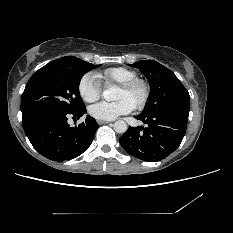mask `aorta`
Masks as SVG:
<instances>
[{
    "instance_id": "762f6f07",
    "label": "aorta",
    "mask_w": 233,
    "mask_h": 233,
    "mask_svg": "<svg viewBox=\"0 0 233 233\" xmlns=\"http://www.w3.org/2000/svg\"><path fill=\"white\" fill-rule=\"evenodd\" d=\"M118 88L111 86L103 91V97L106 101H114L117 99ZM128 127L125 121L118 120L114 123V130L117 133H125Z\"/></svg>"
}]
</instances>
